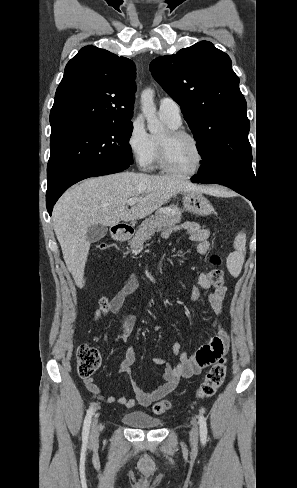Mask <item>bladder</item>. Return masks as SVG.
Wrapping results in <instances>:
<instances>
[{"label": "bladder", "mask_w": 297, "mask_h": 488, "mask_svg": "<svg viewBox=\"0 0 297 488\" xmlns=\"http://www.w3.org/2000/svg\"><path fill=\"white\" fill-rule=\"evenodd\" d=\"M122 421L129 427L138 429H155L161 426V421L142 411L125 413Z\"/></svg>", "instance_id": "31cf9c89"}]
</instances>
